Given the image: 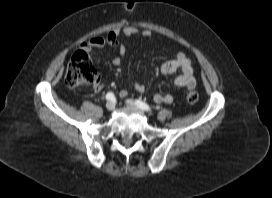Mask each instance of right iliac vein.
I'll return each instance as SVG.
<instances>
[{
	"instance_id": "right-iliac-vein-1",
	"label": "right iliac vein",
	"mask_w": 272,
	"mask_h": 198,
	"mask_svg": "<svg viewBox=\"0 0 272 198\" xmlns=\"http://www.w3.org/2000/svg\"><path fill=\"white\" fill-rule=\"evenodd\" d=\"M106 108H107V110L112 111L115 108V104L113 102L109 101L106 104Z\"/></svg>"
}]
</instances>
